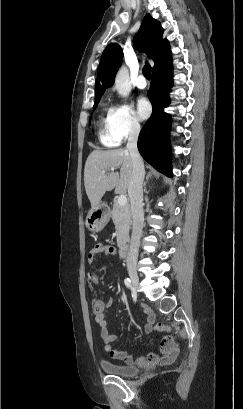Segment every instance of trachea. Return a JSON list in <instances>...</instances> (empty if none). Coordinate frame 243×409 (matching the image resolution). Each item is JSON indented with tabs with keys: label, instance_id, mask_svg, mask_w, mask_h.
I'll return each mask as SVG.
<instances>
[{
	"label": "trachea",
	"instance_id": "1",
	"mask_svg": "<svg viewBox=\"0 0 243 409\" xmlns=\"http://www.w3.org/2000/svg\"><path fill=\"white\" fill-rule=\"evenodd\" d=\"M142 73H143V75L145 76L146 79L150 80V78H151V66L147 62L143 67Z\"/></svg>",
	"mask_w": 243,
	"mask_h": 409
}]
</instances>
